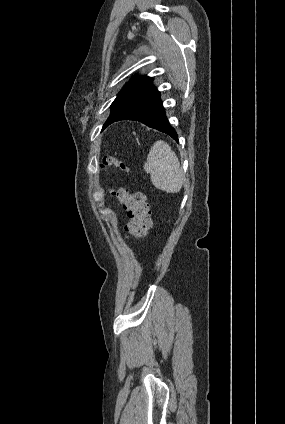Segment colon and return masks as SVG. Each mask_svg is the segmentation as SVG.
I'll list each match as a JSON object with an SVG mask.
<instances>
[{"label":"colon","mask_w":285,"mask_h":424,"mask_svg":"<svg viewBox=\"0 0 285 424\" xmlns=\"http://www.w3.org/2000/svg\"><path fill=\"white\" fill-rule=\"evenodd\" d=\"M102 166H116L122 170L127 169L124 162L113 156L104 157ZM112 195L127 212L129 218V222L125 226L127 236L140 238L145 235L151 227V210L146 195L141 192L131 193L124 188L112 191Z\"/></svg>","instance_id":"5ec220e1"}]
</instances>
